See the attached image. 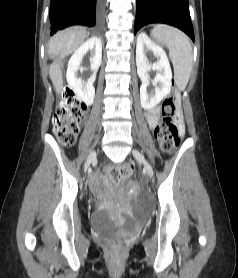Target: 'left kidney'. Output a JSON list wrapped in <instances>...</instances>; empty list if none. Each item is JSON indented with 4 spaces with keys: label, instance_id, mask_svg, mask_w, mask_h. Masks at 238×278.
<instances>
[{
    "label": "left kidney",
    "instance_id": "1",
    "mask_svg": "<svg viewBox=\"0 0 238 278\" xmlns=\"http://www.w3.org/2000/svg\"><path fill=\"white\" fill-rule=\"evenodd\" d=\"M147 53H152L157 61L150 64L146 56ZM136 65L138 76L142 82L140 87L141 106L145 110H150L156 107L170 93L172 71L165 51L153 43L145 33H141L137 37ZM151 69L157 71V76L153 83L155 91L148 93L147 87L150 79L148 72Z\"/></svg>",
    "mask_w": 238,
    "mask_h": 278
}]
</instances>
